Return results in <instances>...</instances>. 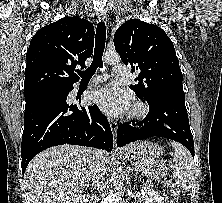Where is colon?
Returning a JSON list of instances; mask_svg holds the SVG:
<instances>
[{"label": "colon", "mask_w": 222, "mask_h": 203, "mask_svg": "<svg viewBox=\"0 0 222 203\" xmlns=\"http://www.w3.org/2000/svg\"><path fill=\"white\" fill-rule=\"evenodd\" d=\"M169 186H170V189H171L173 196L175 198V203H180L179 190H178L176 183L171 181L169 183Z\"/></svg>", "instance_id": "obj_1"}]
</instances>
